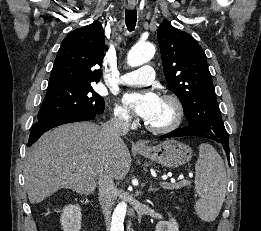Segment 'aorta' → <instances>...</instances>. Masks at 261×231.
<instances>
[{"label":"aorta","instance_id":"762f6f07","mask_svg":"<svg viewBox=\"0 0 261 231\" xmlns=\"http://www.w3.org/2000/svg\"><path fill=\"white\" fill-rule=\"evenodd\" d=\"M155 54V47L149 42L135 44L127 55V63L131 67H137L147 63ZM127 211V204L120 202L114 209L112 216L111 231H124V218Z\"/></svg>","mask_w":261,"mask_h":231}]
</instances>
